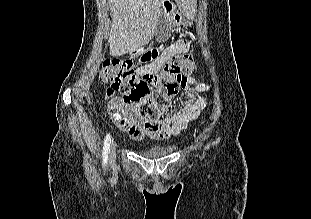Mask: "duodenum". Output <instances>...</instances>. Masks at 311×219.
<instances>
[{
	"mask_svg": "<svg viewBox=\"0 0 311 219\" xmlns=\"http://www.w3.org/2000/svg\"><path fill=\"white\" fill-rule=\"evenodd\" d=\"M173 6H172V4H170V3H165V5H164V12L165 13H167V14H170V13H172L173 12Z\"/></svg>",
	"mask_w": 311,
	"mask_h": 219,
	"instance_id": "duodenum-1",
	"label": "duodenum"
}]
</instances>
